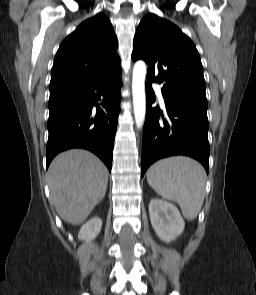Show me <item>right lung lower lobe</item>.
Here are the masks:
<instances>
[{
    "label": "right lung lower lobe",
    "instance_id": "obj_1",
    "mask_svg": "<svg viewBox=\"0 0 256 295\" xmlns=\"http://www.w3.org/2000/svg\"><path fill=\"white\" fill-rule=\"evenodd\" d=\"M121 86L119 70L50 92L47 167L59 152L84 148L95 153L111 171Z\"/></svg>",
    "mask_w": 256,
    "mask_h": 295
}]
</instances>
